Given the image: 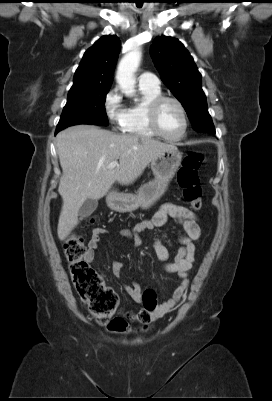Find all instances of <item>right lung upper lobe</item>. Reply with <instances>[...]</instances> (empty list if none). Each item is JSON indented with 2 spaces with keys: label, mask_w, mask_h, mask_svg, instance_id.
<instances>
[{
  "label": "right lung upper lobe",
  "mask_w": 272,
  "mask_h": 401,
  "mask_svg": "<svg viewBox=\"0 0 272 401\" xmlns=\"http://www.w3.org/2000/svg\"><path fill=\"white\" fill-rule=\"evenodd\" d=\"M120 47V40L115 35L103 36L96 41L84 53L74 74L73 86L68 95L85 90L111 87Z\"/></svg>",
  "instance_id": "1"
}]
</instances>
